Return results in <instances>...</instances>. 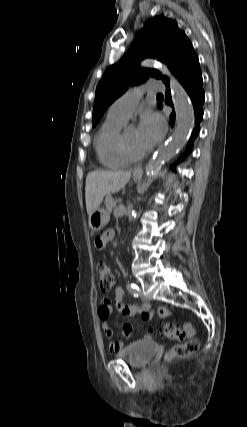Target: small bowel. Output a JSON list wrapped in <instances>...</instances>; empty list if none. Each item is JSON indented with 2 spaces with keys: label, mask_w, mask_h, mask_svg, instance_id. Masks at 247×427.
Returning <instances> with one entry per match:
<instances>
[{
  "label": "small bowel",
  "mask_w": 247,
  "mask_h": 427,
  "mask_svg": "<svg viewBox=\"0 0 247 427\" xmlns=\"http://www.w3.org/2000/svg\"><path fill=\"white\" fill-rule=\"evenodd\" d=\"M115 231L113 229H107L102 235L96 238L95 243L98 248H104L106 243L113 239ZM124 291L121 287L115 288V297L113 304L117 311L124 316H135L140 315L143 320H150L154 316V312L151 310L148 304L137 305V304H125L123 301ZM157 315L159 318L164 319L171 315L169 309L160 307L157 309ZM112 313L111 301L108 298H104L98 309V316L101 322L102 330L105 337L109 340L108 346L112 352L120 351L124 346V341L113 340V331L109 325V317ZM123 336L125 339L132 337L133 326L130 323L123 325ZM151 335H146L145 339H151Z\"/></svg>",
  "instance_id": "c3829d8e"
}]
</instances>
